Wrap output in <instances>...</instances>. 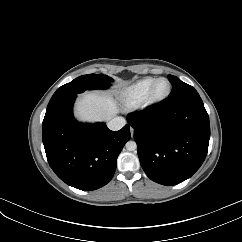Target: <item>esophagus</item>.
<instances>
[{
  "instance_id": "34e87169",
  "label": "esophagus",
  "mask_w": 242,
  "mask_h": 242,
  "mask_svg": "<svg viewBox=\"0 0 242 242\" xmlns=\"http://www.w3.org/2000/svg\"><path fill=\"white\" fill-rule=\"evenodd\" d=\"M131 136H133V129L131 128Z\"/></svg>"
}]
</instances>
